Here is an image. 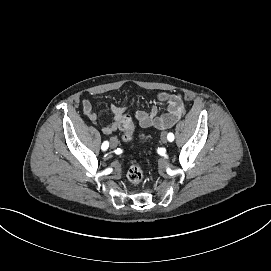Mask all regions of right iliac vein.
Instances as JSON below:
<instances>
[{
    "label": "right iliac vein",
    "instance_id": "right-iliac-vein-1",
    "mask_svg": "<svg viewBox=\"0 0 271 271\" xmlns=\"http://www.w3.org/2000/svg\"><path fill=\"white\" fill-rule=\"evenodd\" d=\"M110 146H111L112 148H116V147L118 146V139L115 138V137H112V138L110 139Z\"/></svg>",
    "mask_w": 271,
    "mask_h": 271
}]
</instances>
